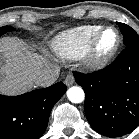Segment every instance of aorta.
I'll return each mask as SVG.
<instances>
[{"label":"aorta","mask_w":139,"mask_h":139,"mask_svg":"<svg viewBox=\"0 0 139 139\" xmlns=\"http://www.w3.org/2000/svg\"><path fill=\"white\" fill-rule=\"evenodd\" d=\"M67 97L72 103H81L85 99V93L81 87L73 86L68 89Z\"/></svg>","instance_id":"aorta-1"}]
</instances>
